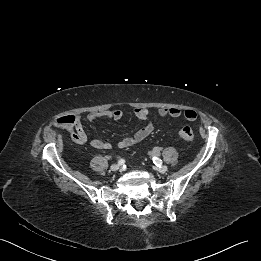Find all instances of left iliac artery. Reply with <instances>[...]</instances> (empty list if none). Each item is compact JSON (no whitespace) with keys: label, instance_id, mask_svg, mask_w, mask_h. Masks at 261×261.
Here are the masks:
<instances>
[{"label":"left iliac artery","instance_id":"1","mask_svg":"<svg viewBox=\"0 0 261 261\" xmlns=\"http://www.w3.org/2000/svg\"><path fill=\"white\" fill-rule=\"evenodd\" d=\"M153 162L158 167H161V165L163 163L162 160L160 158L156 157V156L153 157Z\"/></svg>","mask_w":261,"mask_h":261}]
</instances>
